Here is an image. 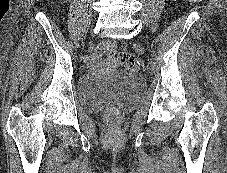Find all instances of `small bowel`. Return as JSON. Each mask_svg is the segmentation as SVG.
I'll return each mask as SVG.
<instances>
[{
	"instance_id": "obj_1",
	"label": "small bowel",
	"mask_w": 227,
	"mask_h": 173,
	"mask_svg": "<svg viewBox=\"0 0 227 173\" xmlns=\"http://www.w3.org/2000/svg\"><path fill=\"white\" fill-rule=\"evenodd\" d=\"M103 47L100 48V50L97 52L96 56H95V61H98L100 56H101V52H102Z\"/></svg>"
}]
</instances>
